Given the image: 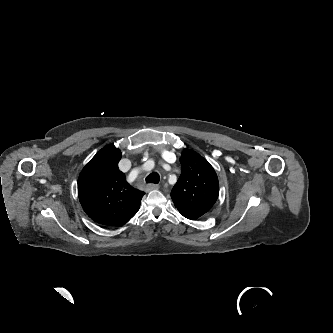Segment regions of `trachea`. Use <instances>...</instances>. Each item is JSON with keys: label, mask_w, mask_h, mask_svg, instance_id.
<instances>
[{"label": "trachea", "mask_w": 333, "mask_h": 333, "mask_svg": "<svg viewBox=\"0 0 333 333\" xmlns=\"http://www.w3.org/2000/svg\"><path fill=\"white\" fill-rule=\"evenodd\" d=\"M146 183H154V184H157L160 180L159 178V175L156 173V172H153L151 174H149L147 177H146Z\"/></svg>", "instance_id": "1"}]
</instances>
